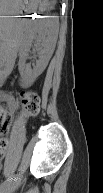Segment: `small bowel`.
<instances>
[{"label":"small bowel","mask_w":103,"mask_h":193,"mask_svg":"<svg viewBox=\"0 0 103 193\" xmlns=\"http://www.w3.org/2000/svg\"><path fill=\"white\" fill-rule=\"evenodd\" d=\"M3 98L6 100V108L4 110L8 113H13L16 108V101L13 96L9 94H3Z\"/></svg>","instance_id":"obj_1"}]
</instances>
